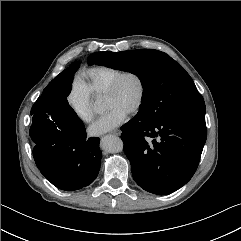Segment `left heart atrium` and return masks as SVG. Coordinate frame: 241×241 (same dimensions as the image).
<instances>
[{
    "label": "left heart atrium",
    "mask_w": 241,
    "mask_h": 241,
    "mask_svg": "<svg viewBox=\"0 0 241 241\" xmlns=\"http://www.w3.org/2000/svg\"><path fill=\"white\" fill-rule=\"evenodd\" d=\"M126 116L127 113L122 109L112 107L90 127L89 132L94 136L107 133L121 125L125 121Z\"/></svg>",
    "instance_id": "left-heart-atrium-1"
}]
</instances>
